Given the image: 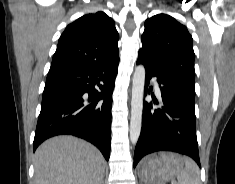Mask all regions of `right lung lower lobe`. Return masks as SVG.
Masks as SVG:
<instances>
[{"mask_svg":"<svg viewBox=\"0 0 235 184\" xmlns=\"http://www.w3.org/2000/svg\"><path fill=\"white\" fill-rule=\"evenodd\" d=\"M117 68L118 63L97 69H50L33 150L50 137L68 134L91 142L109 160L112 92Z\"/></svg>","mask_w":235,"mask_h":184,"instance_id":"obj_1","label":"right lung lower lobe"}]
</instances>
